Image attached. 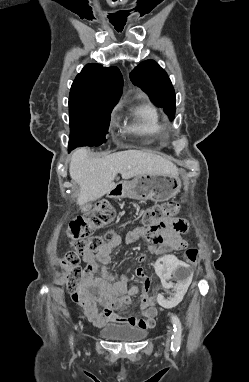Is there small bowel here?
Segmentation results:
<instances>
[{
	"instance_id": "small-bowel-1",
	"label": "small bowel",
	"mask_w": 249,
	"mask_h": 382,
	"mask_svg": "<svg viewBox=\"0 0 249 382\" xmlns=\"http://www.w3.org/2000/svg\"><path fill=\"white\" fill-rule=\"evenodd\" d=\"M188 229L189 225L186 219L169 216L152 227L138 228L128 233L125 242L130 244L144 238L150 244L158 245V250H168V248L182 250L185 246L182 235ZM122 242V237L113 233L98 251L84 254L83 260L86 267L79 289L81 298L78 302L83 307L87 319L95 326H103L108 322H118L145 330L152 329L155 325V301L148 295V290H144L145 282L128 287L127 278L117 279L107 268L113 250ZM137 258L144 261L146 253L138 252ZM154 268H156L155 265ZM139 292H141V296L138 302L142 316H125L123 314L125 307L131 303L132 297ZM98 304L104 307L103 311H99Z\"/></svg>"
}]
</instances>
